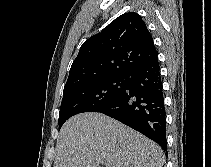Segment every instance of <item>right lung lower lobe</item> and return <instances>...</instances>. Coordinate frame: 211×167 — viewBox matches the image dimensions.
<instances>
[{
    "mask_svg": "<svg viewBox=\"0 0 211 167\" xmlns=\"http://www.w3.org/2000/svg\"><path fill=\"white\" fill-rule=\"evenodd\" d=\"M125 80L123 92L95 112L139 131L166 152V113L158 58L132 69Z\"/></svg>",
    "mask_w": 211,
    "mask_h": 167,
    "instance_id": "obj_1",
    "label": "right lung lower lobe"
}]
</instances>
